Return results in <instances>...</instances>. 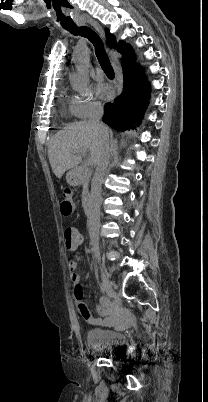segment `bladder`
<instances>
[{
	"label": "bladder",
	"mask_w": 208,
	"mask_h": 402,
	"mask_svg": "<svg viewBox=\"0 0 208 402\" xmlns=\"http://www.w3.org/2000/svg\"><path fill=\"white\" fill-rule=\"evenodd\" d=\"M123 339L124 336L112 330L87 329L86 332V344L91 351L106 348L117 352L123 345Z\"/></svg>",
	"instance_id": "obj_1"
}]
</instances>
